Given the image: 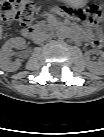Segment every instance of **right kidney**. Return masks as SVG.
<instances>
[{
  "label": "right kidney",
  "mask_w": 104,
  "mask_h": 137,
  "mask_svg": "<svg viewBox=\"0 0 104 137\" xmlns=\"http://www.w3.org/2000/svg\"><path fill=\"white\" fill-rule=\"evenodd\" d=\"M25 39L22 37H15L9 39L0 50V68L3 71L14 72L19 69L21 63L20 60L12 61L13 48H24Z\"/></svg>",
  "instance_id": "ca27d5eb"
}]
</instances>
